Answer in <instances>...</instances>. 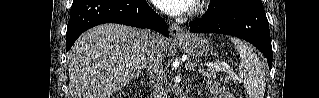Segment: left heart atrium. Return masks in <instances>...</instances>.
<instances>
[{
    "label": "left heart atrium",
    "mask_w": 319,
    "mask_h": 98,
    "mask_svg": "<svg viewBox=\"0 0 319 98\" xmlns=\"http://www.w3.org/2000/svg\"><path fill=\"white\" fill-rule=\"evenodd\" d=\"M156 6L167 14L180 15L189 12L193 6L194 0H155Z\"/></svg>",
    "instance_id": "obj_1"
}]
</instances>
